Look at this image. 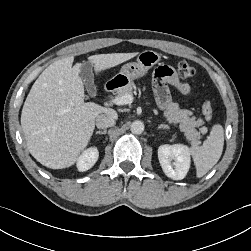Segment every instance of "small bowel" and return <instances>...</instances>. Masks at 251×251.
I'll return each instance as SVG.
<instances>
[{
	"instance_id": "small-bowel-1",
	"label": "small bowel",
	"mask_w": 251,
	"mask_h": 251,
	"mask_svg": "<svg viewBox=\"0 0 251 251\" xmlns=\"http://www.w3.org/2000/svg\"><path fill=\"white\" fill-rule=\"evenodd\" d=\"M169 85L175 87L183 95L191 92L190 84L182 82L171 67H159L154 73L153 88L156 100L162 108L166 107L170 101Z\"/></svg>"
}]
</instances>
